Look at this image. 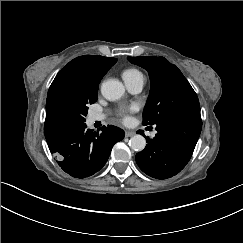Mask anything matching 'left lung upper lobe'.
<instances>
[{
  "mask_svg": "<svg viewBox=\"0 0 243 243\" xmlns=\"http://www.w3.org/2000/svg\"><path fill=\"white\" fill-rule=\"evenodd\" d=\"M149 73L150 94L143 111V125H157L176 117L201 119L197 94L181 71L164 57H128Z\"/></svg>",
  "mask_w": 243,
  "mask_h": 243,
  "instance_id": "5c2ea615",
  "label": "left lung upper lobe"
}]
</instances>
